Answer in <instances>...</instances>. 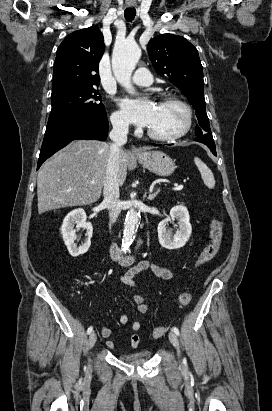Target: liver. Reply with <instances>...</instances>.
Listing matches in <instances>:
<instances>
[{
    "instance_id": "1",
    "label": "liver",
    "mask_w": 272,
    "mask_h": 411,
    "mask_svg": "<svg viewBox=\"0 0 272 411\" xmlns=\"http://www.w3.org/2000/svg\"><path fill=\"white\" fill-rule=\"evenodd\" d=\"M110 147L97 140H75L44 163L37 176L38 213L89 205L102 192ZM128 153L121 151L118 180L127 175Z\"/></svg>"
}]
</instances>
